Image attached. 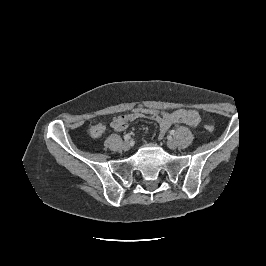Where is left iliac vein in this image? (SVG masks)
I'll list each match as a JSON object with an SVG mask.
<instances>
[{
  "mask_svg": "<svg viewBox=\"0 0 266 266\" xmlns=\"http://www.w3.org/2000/svg\"><path fill=\"white\" fill-rule=\"evenodd\" d=\"M167 145L170 149H176L177 147V142L173 139H168Z\"/></svg>",
  "mask_w": 266,
  "mask_h": 266,
  "instance_id": "obj_1",
  "label": "left iliac vein"
}]
</instances>
